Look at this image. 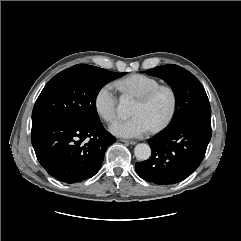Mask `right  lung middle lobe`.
<instances>
[{"label": "right lung middle lobe", "instance_id": "1", "mask_svg": "<svg viewBox=\"0 0 241 241\" xmlns=\"http://www.w3.org/2000/svg\"><path fill=\"white\" fill-rule=\"evenodd\" d=\"M95 66L78 64L55 75L40 93L32 112V122L68 119L89 125L101 121L96 109L100 89L125 75Z\"/></svg>", "mask_w": 241, "mask_h": 241}]
</instances>
